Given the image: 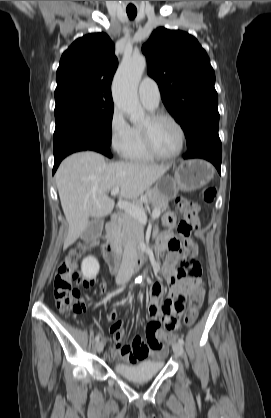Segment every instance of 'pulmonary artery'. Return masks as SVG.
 Instances as JSON below:
<instances>
[{"label": "pulmonary artery", "instance_id": "pulmonary-artery-1", "mask_svg": "<svg viewBox=\"0 0 271 418\" xmlns=\"http://www.w3.org/2000/svg\"><path fill=\"white\" fill-rule=\"evenodd\" d=\"M139 99L144 106L154 109L160 101V91L157 83L149 77L144 78L138 88Z\"/></svg>", "mask_w": 271, "mask_h": 418}]
</instances>
